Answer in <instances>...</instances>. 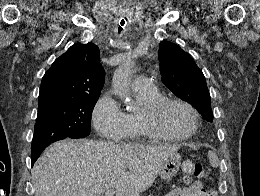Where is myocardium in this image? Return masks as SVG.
<instances>
[{
  "label": "myocardium",
  "mask_w": 260,
  "mask_h": 196,
  "mask_svg": "<svg viewBox=\"0 0 260 196\" xmlns=\"http://www.w3.org/2000/svg\"><path fill=\"white\" fill-rule=\"evenodd\" d=\"M171 104H179L186 107L194 117L195 124L193 129L182 136L168 135L157 126V119L159 115ZM138 117L139 123L143 130L153 138L177 143H184L189 141L197 133L200 125V115L196 108L187 101L176 97H163L151 104L144 106ZM96 192H101V190H97Z\"/></svg>",
  "instance_id": "1"
}]
</instances>
